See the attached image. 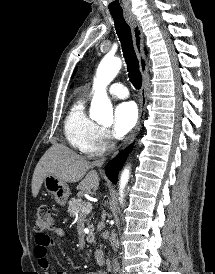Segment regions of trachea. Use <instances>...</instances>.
<instances>
[{
	"label": "trachea",
	"instance_id": "obj_1",
	"mask_svg": "<svg viewBox=\"0 0 215 274\" xmlns=\"http://www.w3.org/2000/svg\"><path fill=\"white\" fill-rule=\"evenodd\" d=\"M111 15L115 23L118 38L121 42L130 82L136 89H140L142 85V76L139 71V62L133 47L130 27L126 23L122 13H111Z\"/></svg>",
	"mask_w": 215,
	"mask_h": 274
}]
</instances>
